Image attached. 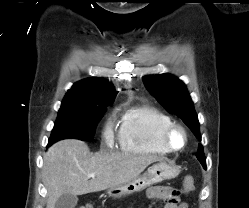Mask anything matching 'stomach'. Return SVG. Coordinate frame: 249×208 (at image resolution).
<instances>
[{"label": "stomach", "mask_w": 249, "mask_h": 208, "mask_svg": "<svg viewBox=\"0 0 249 208\" xmlns=\"http://www.w3.org/2000/svg\"><path fill=\"white\" fill-rule=\"evenodd\" d=\"M180 169L165 161H160L148 168V170L128 183L111 188L108 194L114 198H120L125 195L141 192L147 187L160 183L164 180H170L178 176Z\"/></svg>", "instance_id": "1"}]
</instances>
